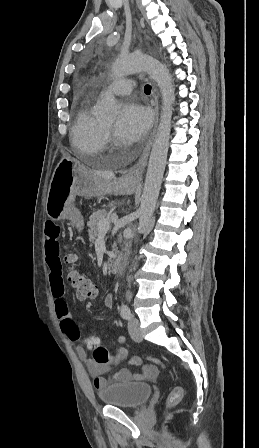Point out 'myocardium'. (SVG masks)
I'll use <instances>...</instances> for the list:
<instances>
[{"instance_id":"obj_1","label":"myocardium","mask_w":259,"mask_h":448,"mask_svg":"<svg viewBox=\"0 0 259 448\" xmlns=\"http://www.w3.org/2000/svg\"><path fill=\"white\" fill-rule=\"evenodd\" d=\"M104 129H105V133L111 134V135H113V137H116L115 134H114V132L112 131V129H110L109 127H107V126H105V125H104ZM117 145H118V144H117ZM81 156H82V155L79 153V158H80Z\"/></svg>"}]
</instances>
